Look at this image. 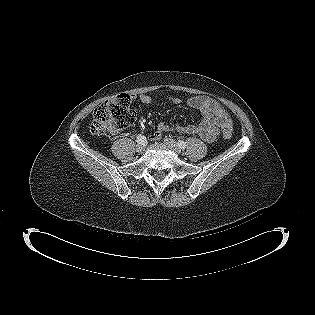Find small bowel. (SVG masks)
Returning a JSON list of instances; mask_svg holds the SVG:
<instances>
[{"label":"small bowel","mask_w":315,"mask_h":315,"mask_svg":"<svg viewBox=\"0 0 315 315\" xmlns=\"http://www.w3.org/2000/svg\"><path fill=\"white\" fill-rule=\"evenodd\" d=\"M139 101L149 106L152 103V98L147 94L139 96ZM170 101L173 104H180L181 99L178 97H170ZM186 104L200 111L202 118L196 125H181L178 124L175 127H171L165 122H160L157 126V132L150 138L154 141L159 140L162 133L170 130H176L180 133L198 135L207 142H212L218 136L220 130L229 129L232 130V121L227 111L215 100L203 96H193L187 99Z\"/></svg>","instance_id":"c3829d8e"}]
</instances>
